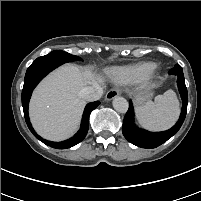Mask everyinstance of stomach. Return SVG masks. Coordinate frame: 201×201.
Wrapping results in <instances>:
<instances>
[{
    "instance_id": "0dacf381",
    "label": "stomach",
    "mask_w": 201,
    "mask_h": 201,
    "mask_svg": "<svg viewBox=\"0 0 201 201\" xmlns=\"http://www.w3.org/2000/svg\"><path fill=\"white\" fill-rule=\"evenodd\" d=\"M132 94L135 98L136 103L138 105H141L149 100L153 93L149 87H143L135 92H132Z\"/></svg>"
}]
</instances>
